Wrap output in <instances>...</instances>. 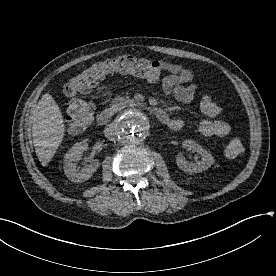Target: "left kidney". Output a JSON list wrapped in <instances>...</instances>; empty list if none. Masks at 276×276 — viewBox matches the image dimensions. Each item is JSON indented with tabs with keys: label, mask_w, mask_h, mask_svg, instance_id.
I'll use <instances>...</instances> for the list:
<instances>
[{
	"label": "left kidney",
	"mask_w": 276,
	"mask_h": 276,
	"mask_svg": "<svg viewBox=\"0 0 276 276\" xmlns=\"http://www.w3.org/2000/svg\"><path fill=\"white\" fill-rule=\"evenodd\" d=\"M183 147L192 150L194 152H197L201 160L197 161L195 163L188 162L184 160L180 155L176 159L177 166L184 172L192 174V173H199L202 171L207 170L209 167L212 166L214 163L213 156L205 150L201 145L197 144L193 140H186L183 142Z\"/></svg>",
	"instance_id": "left-kidney-1"
}]
</instances>
